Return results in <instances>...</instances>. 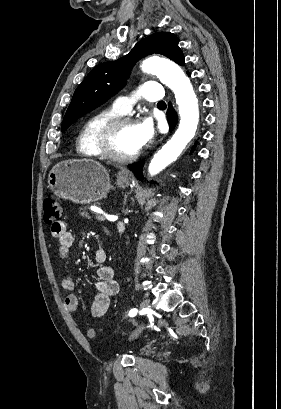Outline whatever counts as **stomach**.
Listing matches in <instances>:
<instances>
[{
    "instance_id": "obj_1",
    "label": "stomach",
    "mask_w": 281,
    "mask_h": 409,
    "mask_svg": "<svg viewBox=\"0 0 281 409\" xmlns=\"http://www.w3.org/2000/svg\"><path fill=\"white\" fill-rule=\"evenodd\" d=\"M132 178L118 172L116 184L127 186ZM48 186L60 198L73 202H96L112 188L109 172L98 160H60L48 174Z\"/></svg>"
}]
</instances>
